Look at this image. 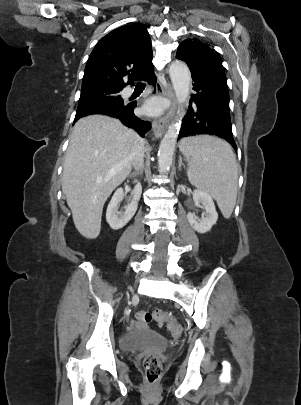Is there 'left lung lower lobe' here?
Here are the masks:
<instances>
[{
	"label": "left lung lower lobe",
	"instance_id": "1",
	"mask_svg": "<svg viewBox=\"0 0 301 405\" xmlns=\"http://www.w3.org/2000/svg\"><path fill=\"white\" fill-rule=\"evenodd\" d=\"M194 81L189 111L182 121L178 139L195 135H214L228 141L237 152L229 111V94L222 92L200 74L192 72Z\"/></svg>",
	"mask_w": 301,
	"mask_h": 405
}]
</instances>
